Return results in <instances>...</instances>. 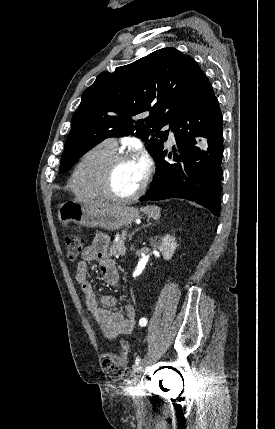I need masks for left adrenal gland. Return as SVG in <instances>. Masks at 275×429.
<instances>
[{
  "instance_id": "obj_1",
  "label": "left adrenal gland",
  "mask_w": 275,
  "mask_h": 429,
  "mask_svg": "<svg viewBox=\"0 0 275 429\" xmlns=\"http://www.w3.org/2000/svg\"><path fill=\"white\" fill-rule=\"evenodd\" d=\"M152 223H150L149 221L147 222V224H145V225H143L141 228H144V227H148V226H150ZM138 230V229H137ZM137 230H135V231H133L131 234H129V240H132V237H133V235L135 234V232L137 231Z\"/></svg>"
}]
</instances>
